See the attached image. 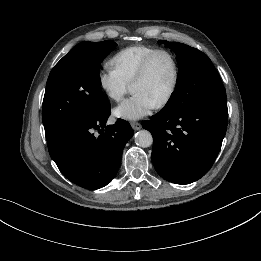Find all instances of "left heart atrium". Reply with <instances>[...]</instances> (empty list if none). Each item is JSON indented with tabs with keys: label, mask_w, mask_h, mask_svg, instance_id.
I'll use <instances>...</instances> for the list:
<instances>
[{
	"label": "left heart atrium",
	"mask_w": 261,
	"mask_h": 261,
	"mask_svg": "<svg viewBox=\"0 0 261 261\" xmlns=\"http://www.w3.org/2000/svg\"><path fill=\"white\" fill-rule=\"evenodd\" d=\"M156 103L143 93H134L114 109V115L121 119L138 120L151 113Z\"/></svg>",
	"instance_id": "39dd6f15"
}]
</instances>
